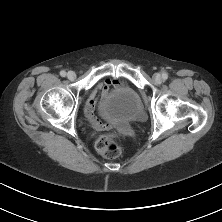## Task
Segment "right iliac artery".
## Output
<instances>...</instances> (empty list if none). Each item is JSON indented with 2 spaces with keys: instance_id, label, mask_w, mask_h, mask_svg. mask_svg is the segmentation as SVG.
I'll use <instances>...</instances> for the list:
<instances>
[{
  "instance_id": "82829eb1",
  "label": "right iliac artery",
  "mask_w": 222,
  "mask_h": 222,
  "mask_svg": "<svg viewBox=\"0 0 222 222\" xmlns=\"http://www.w3.org/2000/svg\"><path fill=\"white\" fill-rule=\"evenodd\" d=\"M60 75H61L62 77H65V76H66V72H65V71H61V72H60Z\"/></svg>"
}]
</instances>
